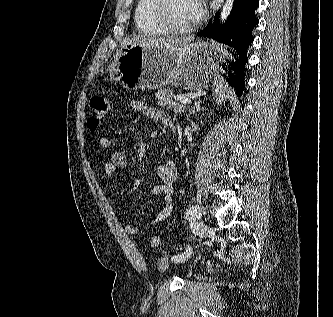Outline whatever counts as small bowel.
I'll return each mask as SVG.
<instances>
[{"mask_svg": "<svg viewBox=\"0 0 333 317\" xmlns=\"http://www.w3.org/2000/svg\"><path fill=\"white\" fill-rule=\"evenodd\" d=\"M130 108L164 125L169 126V123L172 122L171 119L160 109L151 107L142 100L132 99L130 101ZM98 142L104 149L113 150L114 148V142L108 136H99ZM126 163L127 156L125 151L113 150L108 161L105 162L102 168L104 178H110L116 169L123 168ZM156 174L160 182L151 189L150 193L153 196H162L163 207L150 221H148L146 225L148 228L165 221L173 210L174 184L177 179V169L175 163L172 160L164 161L157 167ZM124 231L129 235H136L141 232V229L135 225L128 224L124 226Z\"/></svg>", "mask_w": 333, "mask_h": 317, "instance_id": "small-bowel-1", "label": "small bowel"}]
</instances>
